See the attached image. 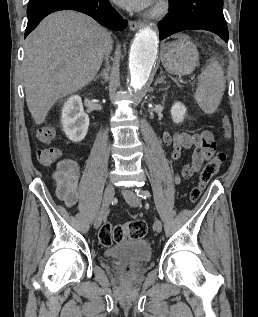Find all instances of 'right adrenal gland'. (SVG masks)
I'll return each mask as SVG.
<instances>
[{"instance_id": "right-adrenal-gland-1", "label": "right adrenal gland", "mask_w": 258, "mask_h": 317, "mask_svg": "<svg viewBox=\"0 0 258 317\" xmlns=\"http://www.w3.org/2000/svg\"><path fill=\"white\" fill-rule=\"evenodd\" d=\"M104 78V80H108V76H109V68L108 66H106V68H103L101 74H97V76H95V78ZM103 84V82H102Z\"/></svg>"}]
</instances>
